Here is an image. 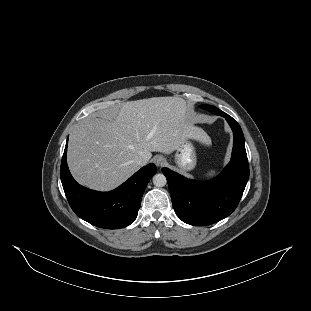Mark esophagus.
Segmentation results:
<instances>
[{
  "label": "esophagus",
  "mask_w": 311,
  "mask_h": 311,
  "mask_svg": "<svg viewBox=\"0 0 311 311\" xmlns=\"http://www.w3.org/2000/svg\"><path fill=\"white\" fill-rule=\"evenodd\" d=\"M152 161L158 167L164 166L167 163V160L161 155L155 156Z\"/></svg>",
  "instance_id": "esophagus-1"
}]
</instances>
